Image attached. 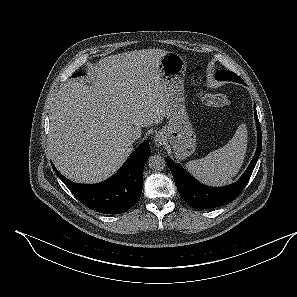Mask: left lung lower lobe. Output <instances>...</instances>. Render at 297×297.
<instances>
[{
	"label": "left lung lower lobe",
	"mask_w": 297,
	"mask_h": 297,
	"mask_svg": "<svg viewBox=\"0 0 297 297\" xmlns=\"http://www.w3.org/2000/svg\"><path fill=\"white\" fill-rule=\"evenodd\" d=\"M255 121L257 125V150L241 178L234 184L224 187H208L196 181L180 165L166 158V163L172 172L175 184L182 199L195 209H210L228 204L235 200L249 181L262 150L261 128L254 104Z\"/></svg>",
	"instance_id": "0a47b994"
}]
</instances>
